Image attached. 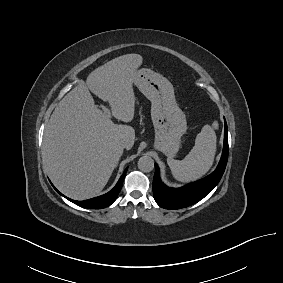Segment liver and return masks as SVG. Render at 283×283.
<instances>
[{
	"instance_id": "obj_1",
	"label": "liver",
	"mask_w": 283,
	"mask_h": 283,
	"mask_svg": "<svg viewBox=\"0 0 283 283\" xmlns=\"http://www.w3.org/2000/svg\"><path fill=\"white\" fill-rule=\"evenodd\" d=\"M142 62L141 55L126 54L105 63L53 111L44 131L43 159L50 178L66 196L84 200L98 195L123 154L121 142L127 143V149L134 145L135 130L107 118L90 91L108 101L113 117L131 122L133 83Z\"/></svg>"
}]
</instances>
